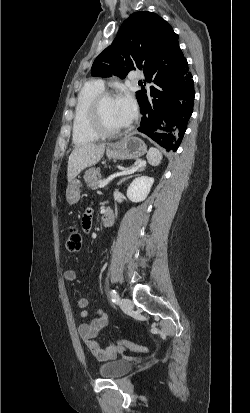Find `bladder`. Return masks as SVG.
I'll return each mask as SVG.
<instances>
[{"instance_id": "1", "label": "bladder", "mask_w": 250, "mask_h": 413, "mask_svg": "<svg viewBox=\"0 0 250 413\" xmlns=\"http://www.w3.org/2000/svg\"><path fill=\"white\" fill-rule=\"evenodd\" d=\"M132 369V363L126 359H114L99 366V374L105 378H119Z\"/></svg>"}]
</instances>
